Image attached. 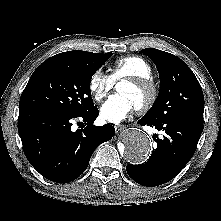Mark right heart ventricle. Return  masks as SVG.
<instances>
[{"label":"right heart ventricle","instance_id":"obj_1","mask_svg":"<svg viewBox=\"0 0 221 221\" xmlns=\"http://www.w3.org/2000/svg\"><path fill=\"white\" fill-rule=\"evenodd\" d=\"M150 64L140 56H125L117 59L111 66L110 77L113 81L131 77H151Z\"/></svg>","mask_w":221,"mask_h":221}]
</instances>
